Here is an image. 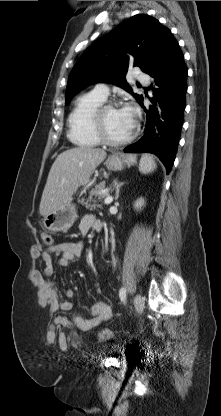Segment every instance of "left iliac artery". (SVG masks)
Here are the masks:
<instances>
[{
  "label": "left iliac artery",
  "instance_id": "left-iliac-artery-1",
  "mask_svg": "<svg viewBox=\"0 0 221 416\" xmlns=\"http://www.w3.org/2000/svg\"><path fill=\"white\" fill-rule=\"evenodd\" d=\"M119 297H120L121 301L125 302V300H126V289L125 288L120 289Z\"/></svg>",
  "mask_w": 221,
  "mask_h": 416
}]
</instances>
